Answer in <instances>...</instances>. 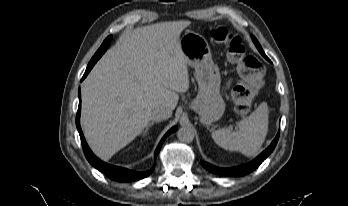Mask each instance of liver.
<instances>
[{"mask_svg": "<svg viewBox=\"0 0 348 206\" xmlns=\"http://www.w3.org/2000/svg\"><path fill=\"white\" fill-rule=\"evenodd\" d=\"M190 21L161 22L124 34L83 82L81 125L91 150L102 160L133 141L152 111L171 112L189 89L187 60L179 39Z\"/></svg>", "mask_w": 348, "mask_h": 206, "instance_id": "liver-1", "label": "liver"}]
</instances>
